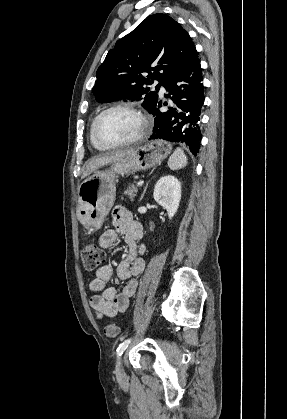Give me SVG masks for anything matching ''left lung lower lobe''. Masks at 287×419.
<instances>
[{
	"label": "left lung lower lobe",
	"instance_id": "1",
	"mask_svg": "<svg viewBox=\"0 0 287 419\" xmlns=\"http://www.w3.org/2000/svg\"><path fill=\"white\" fill-rule=\"evenodd\" d=\"M198 57L182 72L168 79L163 86L171 103L167 112H160L161 102L150 112L155 116L153 133L149 140L163 139L184 143L197 155L201 133L198 129L201 107L204 103V87ZM167 106V103H164Z\"/></svg>",
	"mask_w": 287,
	"mask_h": 419
}]
</instances>
